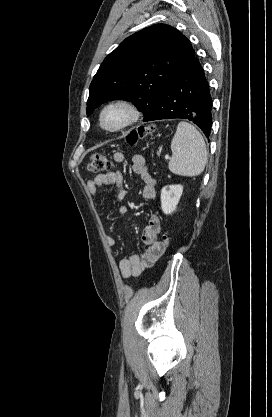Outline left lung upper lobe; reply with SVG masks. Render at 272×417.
Returning a JSON list of instances; mask_svg holds the SVG:
<instances>
[{
	"instance_id": "5c2ea615",
	"label": "left lung upper lobe",
	"mask_w": 272,
	"mask_h": 417,
	"mask_svg": "<svg viewBox=\"0 0 272 417\" xmlns=\"http://www.w3.org/2000/svg\"><path fill=\"white\" fill-rule=\"evenodd\" d=\"M195 56L177 29L155 24L126 38L102 62L89 88L87 115L108 100H131L147 116L157 99Z\"/></svg>"
}]
</instances>
